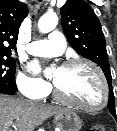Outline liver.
Listing matches in <instances>:
<instances>
[{"label":"liver","instance_id":"liver-1","mask_svg":"<svg viewBox=\"0 0 117 131\" xmlns=\"http://www.w3.org/2000/svg\"><path fill=\"white\" fill-rule=\"evenodd\" d=\"M67 111L0 94V131L16 120L15 131H34L47 118Z\"/></svg>","mask_w":117,"mask_h":131}]
</instances>
